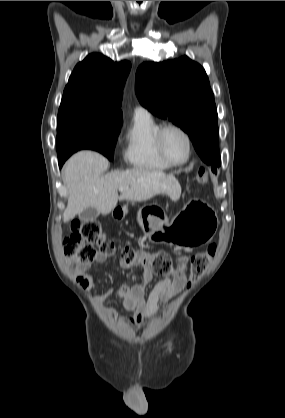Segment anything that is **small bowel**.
Wrapping results in <instances>:
<instances>
[{"label":"small bowel","instance_id":"1","mask_svg":"<svg viewBox=\"0 0 285 418\" xmlns=\"http://www.w3.org/2000/svg\"><path fill=\"white\" fill-rule=\"evenodd\" d=\"M107 260V253L104 251L97 252L95 262L103 264ZM179 261L185 263L188 261L187 256H181ZM68 264L76 274H88L91 265L80 264L77 260L68 258ZM119 265L126 270L133 268H141V274L138 283L134 285H123L118 291L123 308L131 313L129 322L133 325H141L145 320L150 319L157 312L158 303L160 301L169 302L173 297L179 294L187 280L183 274H177L172 279H163L156 283L154 288L145 297V288L153 278L152 258L146 253H139L134 260L126 261L124 258L119 259ZM91 283L89 288L95 285L94 278L89 275ZM112 292L109 288L101 297L104 299Z\"/></svg>","mask_w":285,"mask_h":418}]
</instances>
